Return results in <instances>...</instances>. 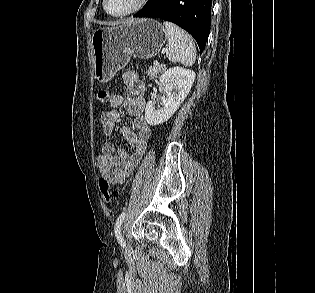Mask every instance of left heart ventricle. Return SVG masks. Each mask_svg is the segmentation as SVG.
Returning <instances> with one entry per match:
<instances>
[{
  "label": "left heart ventricle",
  "mask_w": 315,
  "mask_h": 293,
  "mask_svg": "<svg viewBox=\"0 0 315 293\" xmlns=\"http://www.w3.org/2000/svg\"><path fill=\"white\" fill-rule=\"evenodd\" d=\"M137 0H107V9L112 14H121L135 6Z\"/></svg>",
  "instance_id": "left-heart-ventricle-1"
}]
</instances>
